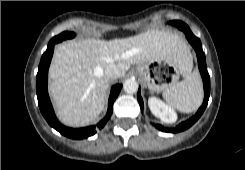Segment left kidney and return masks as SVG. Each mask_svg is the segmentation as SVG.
Here are the masks:
<instances>
[{
  "mask_svg": "<svg viewBox=\"0 0 245 170\" xmlns=\"http://www.w3.org/2000/svg\"><path fill=\"white\" fill-rule=\"evenodd\" d=\"M152 114L165 123H174L177 120L176 112L160 99L150 97L148 100Z\"/></svg>",
  "mask_w": 245,
  "mask_h": 170,
  "instance_id": "obj_1",
  "label": "left kidney"
}]
</instances>
